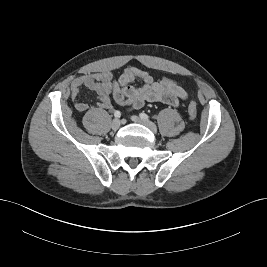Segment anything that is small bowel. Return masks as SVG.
<instances>
[{
  "label": "small bowel",
  "instance_id": "small-bowel-1",
  "mask_svg": "<svg viewBox=\"0 0 267 267\" xmlns=\"http://www.w3.org/2000/svg\"><path fill=\"white\" fill-rule=\"evenodd\" d=\"M136 80L142 81L143 85L133 86L132 83ZM82 88L95 92L97 107L104 110L113 108L112 99L129 109H140L147 102L177 106L180 101L188 98L179 82L168 77L155 80L150 72L137 67L126 68L118 78L112 71L76 77L71 83V97L76 110L86 112L88 104L79 100Z\"/></svg>",
  "mask_w": 267,
  "mask_h": 267
}]
</instances>
